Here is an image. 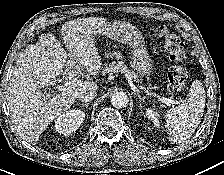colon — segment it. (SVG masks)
Masks as SVG:
<instances>
[{"label":"colon","mask_w":224,"mask_h":175,"mask_svg":"<svg viewBox=\"0 0 224 175\" xmlns=\"http://www.w3.org/2000/svg\"><path fill=\"white\" fill-rule=\"evenodd\" d=\"M157 35L163 39L164 47L172 63L167 73L168 89L171 93H178L185 88L187 74L181 66L185 58V47L178 36L171 33L167 27L159 26Z\"/></svg>","instance_id":"obj_1"}]
</instances>
